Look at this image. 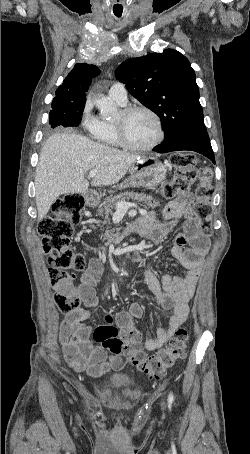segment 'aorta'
Returning a JSON list of instances; mask_svg holds the SVG:
<instances>
[{"label":"aorta","instance_id":"obj_1","mask_svg":"<svg viewBox=\"0 0 250 454\" xmlns=\"http://www.w3.org/2000/svg\"><path fill=\"white\" fill-rule=\"evenodd\" d=\"M94 103L103 114H111L116 110V107L113 104V102L104 96L95 99Z\"/></svg>","mask_w":250,"mask_h":454}]
</instances>
